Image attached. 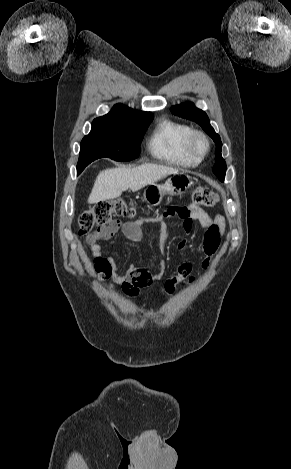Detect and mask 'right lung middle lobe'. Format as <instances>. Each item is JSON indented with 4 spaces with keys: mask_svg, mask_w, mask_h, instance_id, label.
<instances>
[{
    "mask_svg": "<svg viewBox=\"0 0 291 469\" xmlns=\"http://www.w3.org/2000/svg\"><path fill=\"white\" fill-rule=\"evenodd\" d=\"M152 119L153 116L136 120L95 119L91 132L80 144L77 174L101 157L116 161L136 159L140 140Z\"/></svg>",
    "mask_w": 291,
    "mask_h": 469,
    "instance_id": "dd1d6c3e",
    "label": "right lung middle lobe"
}]
</instances>
